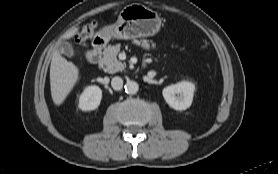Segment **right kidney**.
Wrapping results in <instances>:
<instances>
[{"instance_id":"1","label":"right kidney","mask_w":278,"mask_h":174,"mask_svg":"<svg viewBox=\"0 0 278 174\" xmlns=\"http://www.w3.org/2000/svg\"><path fill=\"white\" fill-rule=\"evenodd\" d=\"M102 98V90L98 86H89L85 88L79 97V108L83 111L96 109Z\"/></svg>"}]
</instances>
